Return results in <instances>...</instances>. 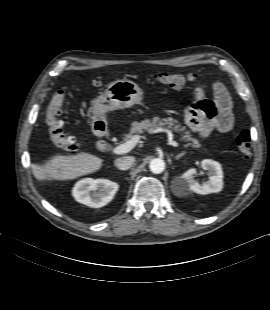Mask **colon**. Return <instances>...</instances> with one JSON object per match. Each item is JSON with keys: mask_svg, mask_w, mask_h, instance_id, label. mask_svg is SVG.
<instances>
[{"mask_svg": "<svg viewBox=\"0 0 270 310\" xmlns=\"http://www.w3.org/2000/svg\"><path fill=\"white\" fill-rule=\"evenodd\" d=\"M200 75L198 74H189L187 76L180 74H170V73H160L156 75L155 79L160 84L165 86L180 89L188 84H191L198 80ZM66 94L64 91H57L46 111V123L48 125L49 134L53 142L60 148H62L67 154L75 155L78 152V143L74 137L68 136L64 132V123L58 117L63 111V106L65 102ZM200 109L213 114L215 113L214 104L209 101H203L200 103ZM236 145L240 154L244 158H249L251 153V135L248 131H241L236 137Z\"/></svg>", "mask_w": 270, "mask_h": 310, "instance_id": "obj_1", "label": "colon"}]
</instances>
